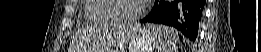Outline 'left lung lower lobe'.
Segmentation results:
<instances>
[{
	"label": "left lung lower lobe",
	"instance_id": "1",
	"mask_svg": "<svg viewBox=\"0 0 261 52\" xmlns=\"http://www.w3.org/2000/svg\"><path fill=\"white\" fill-rule=\"evenodd\" d=\"M205 0H157L141 23L165 24L195 41L201 24Z\"/></svg>",
	"mask_w": 261,
	"mask_h": 52
}]
</instances>
